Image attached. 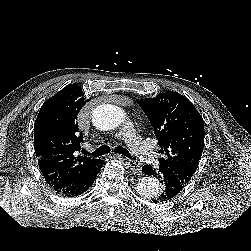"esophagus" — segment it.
Listing matches in <instances>:
<instances>
[{
	"label": "esophagus",
	"instance_id": "34e87169",
	"mask_svg": "<svg viewBox=\"0 0 251 251\" xmlns=\"http://www.w3.org/2000/svg\"><path fill=\"white\" fill-rule=\"evenodd\" d=\"M115 156L119 159H124L127 160L128 165L130 167V169L132 170V172H134L135 174H138L141 172V167L140 164L135 161V160H130V159H126L124 156L120 155V154H115Z\"/></svg>",
	"mask_w": 251,
	"mask_h": 251
}]
</instances>
